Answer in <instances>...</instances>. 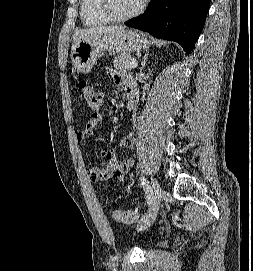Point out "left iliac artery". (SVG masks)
Listing matches in <instances>:
<instances>
[{"label":"left iliac artery","instance_id":"1","mask_svg":"<svg viewBox=\"0 0 253 271\" xmlns=\"http://www.w3.org/2000/svg\"><path fill=\"white\" fill-rule=\"evenodd\" d=\"M140 181H141V184H142V186H143V188H144V190H145V192L147 194V202L149 204L150 199H151V195H152V189H151V187L149 185V182L146 180V178L144 176L140 177Z\"/></svg>","mask_w":253,"mask_h":271}]
</instances>
